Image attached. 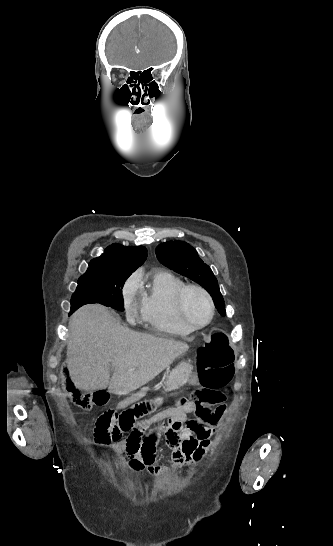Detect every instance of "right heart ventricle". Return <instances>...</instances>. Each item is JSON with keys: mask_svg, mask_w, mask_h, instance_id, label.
I'll return each instance as SVG.
<instances>
[{"mask_svg": "<svg viewBox=\"0 0 333 546\" xmlns=\"http://www.w3.org/2000/svg\"><path fill=\"white\" fill-rule=\"evenodd\" d=\"M185 282L163 270L153 272L141 291L142 319L150 327L167 335L186 337L193 330L178 317L175 297Z\"/></svg>", "mask_w": 333, "mask_h": 546, "instance_id": "e07e8e85", "label": "right heart ventricle"}]
</instances>
